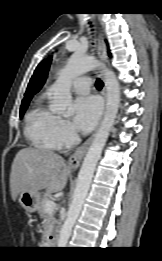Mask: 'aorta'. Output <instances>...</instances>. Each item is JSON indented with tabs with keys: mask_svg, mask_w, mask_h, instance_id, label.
Masks as SVG:
<instances>
[{
	"mask_svg": "<svg viewBox=\"0 0 162 261\" xmlns=\"http://www.w3.org/2000/svg\"><path fill=\"white\" fill-rule=\"evenodd\" d=\"M103 65L94 57L81 56L74 53L68 60L66 66L60 71L57 81L51 87L52 101L50 109L64 116L72 115L69 110L72 102L71 81L79 75ZM105 86L107 92L106 111L101 125L87 151L78 174L73 200L69 207L67 218L60 230L58 247L67 246L72 228L79 217L85 198L88 194L90 184L102 150L108 139L110 130L115 122L120 106V84L115 73L104 68Z\"/></svg>",
	"mask_w": 162,
	"mask_h": 261,
	"instance_id": "1",
	"label": "aorta"
}]
</instances>
